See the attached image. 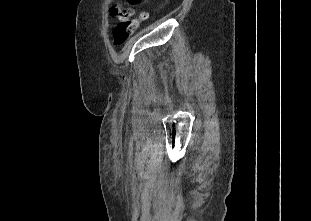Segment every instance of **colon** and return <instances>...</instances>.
<instances>
[{"mask_svg":"<svg viewBox=\"0 0 311 221\" xmlns=\"http://www.w3.org/2000/svg\"><path fill=\"white\" fill-rule=\"evenodd\" d=\"M141 0H130L132 5L138 4ZM108 8L110 9V16L116 18H129L130 15L133 13H124L119 7L118 2H109ZM149 17L147 12H141L136 20H132L131 23H118L117 26L114 27L112 36H113V43L115 45H122L124 44L130 35L139 27V25L146 21ZM135 23V24H133Z\"/></svg>","mask_w":311,"mask_h":221,"instance_id":"5ec220e1","label":"colon"}]
</instances>
